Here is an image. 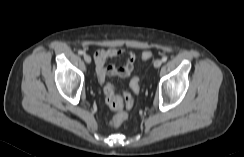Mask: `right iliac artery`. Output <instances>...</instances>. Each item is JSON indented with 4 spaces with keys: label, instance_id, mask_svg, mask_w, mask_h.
Instances as JSON below:
<instances>
[{
    "label": "right iliac artery",
    "instance_id": "right-iliac-artery-1",
    "mask_svg": "<svg viewBox=\"0 0 244 157\" xmlns=\"http://www.w3.org/2000/svg\"><path fill=\"white\" fill-rule=\"evenodd\" d=\"M78 53H79L80 55H84V54H85V52L82 51V50H80Z\"/></svg>",
    "mask_w": 244,
    "mask_h": 157
}]
</instances>
